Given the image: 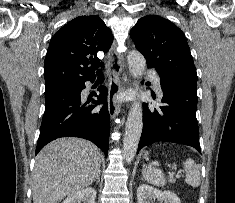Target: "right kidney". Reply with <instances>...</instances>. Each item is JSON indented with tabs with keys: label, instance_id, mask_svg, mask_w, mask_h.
Segmentation results:
<instances>
[{
	"label": "right kidney",
	"instance_id": "right-kidney-1",
	"mask_svg": "<svg viewBox=\"0 0 235 203\" xmlns=\"http://www.w3.org/2000/svg\"><path fill=\"white\" fill-rule=\"evenodd\" d=\"M95 199L96 190L89 187L69 195L63 203H95Z\"/></svg>",
	"mask_w": 235,
	"mask_h": 203
}]
</instances>
